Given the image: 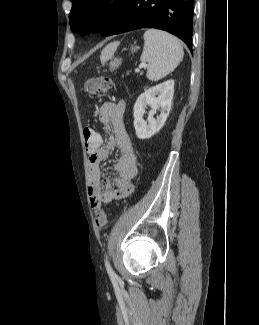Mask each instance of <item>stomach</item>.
Wrapping results in <instances>:
<instances>
[{
	"instance_id": "1",
	"label": "stomach",
	"mask_w": 259,
	"mask_h": 325,
	"mask_svg": "<svg viewBox=\"0 0 259 325\" xmlns=\"http://www.w3.org/2000/svg\"><path fill=\"white\" fill-rule=\"evenodd\" d=\"M137 49H138L137 46H132L131 52H135ZM120 64H121V61L119 59L115 58L110 62V69L114 70V69L118 68Z\"/></svg>"
}]
</instances>
